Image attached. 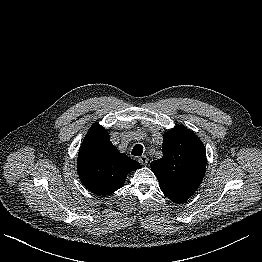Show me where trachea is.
<instances>
[{
    "label": "trachea",
    "instance_id": "3493384b",
    "mask_svg": "<svg viewBox=\"0 0 262 262\" xmlns=\"http://www.w3.org/2000/svg\"><path fill=\"white\" fill-rule=\"evenodd\" d=\"M143 153V146L141 144H136L132 149L133 156H141Z\"/></svg>",
    "mask_w": 262,
    "mask_h": 262
}]
</instances>
